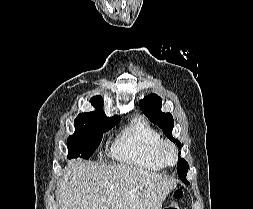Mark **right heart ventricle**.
<instances>
[{"label":"right heart ventricle","mask_w":253,"mask_h":209,"mask_svg":"<svg viewBox=\"0 0 253 209\" xmlns=\"http://www.w3.org/2000/svg\"><path fill=\"white\" fill-rule=\"evenodd\" d=\"M162 136L142 116L134 117L121 131L114 142L111 153L119 161L149 170L165 167L158 149Z\"/></svg>","instance_id":"right-heart-ventricle-1"}]
</instances>
